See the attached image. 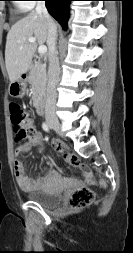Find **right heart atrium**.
Segmentation results:
<instances>
[{
    "label": "right heart atrium",
    "mask_w": 133,
    "mask_h": 253,
    "mask_svg": "<svg viewBox=\"0 0 133 253\" xmlns=\"http://www.w3.org/2000/svg\"><path fill=\"white\" fill-rule=\"evenodd\" d=\"M18 5L21 10L28 11L34 7L35 2L34 0H20Z\"/></svg>",
    "instance_id": "1"
}]
</instances>
